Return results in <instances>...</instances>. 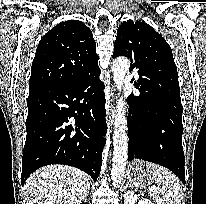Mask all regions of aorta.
<instances>
[{"mask_svg":"<svg viewBox=\"0 0 206 204\" xmlns=\"http://www.w3.org/2000/svg\"><path fill=\"white\" fill-rule=\"evenodd\" d=\"M111 69L115 86L117 90L121 92L126 74L129 69L128 59L124 57L115 59ZM116 108L117 110L113 133V164L111 170V180L114 186H118L124 178L128 151L125 101L122 97L118 99Z\"/></svg>","mask_w":206,"mask_h":204,"instance_id":"1","label":"aorta"}]
</instances>
